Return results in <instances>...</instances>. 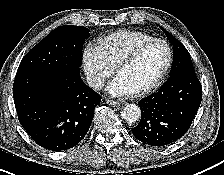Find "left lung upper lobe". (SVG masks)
<instances>
[{"label":"left lung upper lobe","mask_w":224,"mask_h":175,"mask_svg":"<svg viewBox=\"0 0 224 175\" xmlns=\"http://www.w3.org/2000/svg\"><path fill=\"white\" fill-rule=\"evenodd\" d=\"M161 29L165 32L168 39L171 41L173 45V65L171 69V73L182 69V68H193V64L190 58V54L187 49L169 32L161 27Z\"/></svg>","instance_id":"obj_1"}]
</instances>
